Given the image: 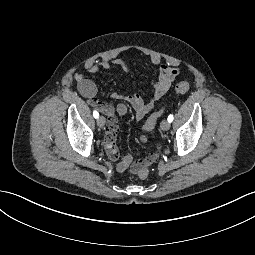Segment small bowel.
Returning a JSON list of instances; mask_svg holds the SVG:
<instances>
[{
    "instance_id": "c3829d8e",
    "label": "small bowel",
    "mask_w": 255,
    "mask_h": 255,
    "mask_svg": "<svg viewBox=\"0 0 255 255\" xmlns=\"http://www.w3.org/2000/svg\"><path fill=\"white\" fill-rule=\"evenodd\" d=\"M151 63L155 66H159L157 81L153 84V94L150 100H145L139 94L123 95L121 93H113L112 98L121 101L115 106L110 103L102 102L97 99V87L96 84L88 77L81 73H75L74 78L77 82V87L80 94L85 97L88 103L104 113L108 118V124L106 128L105 149L108 157L116 162V170L119 173H136L140 168L147 167L154 163L160 155V150L149 154L145 159H142L136 163H132V156L127 154L123 158H120L116 139L118 132V124L116 121V114L125 115L128 111V106H131L134 110V114L137 120L143 119L154 108L155 103L159 101L169 90L172 83L180 74V69L171 63L161 62L159 58H152ZM85 68L90 73H98L101 70H110L117 68L124 74H127L128 68L120 58H114L112 60L101 59L98 61H90L85 64ZM141 142L147 140V136L142 135L139 137Z\"/></svg>"
}]
</instances>
